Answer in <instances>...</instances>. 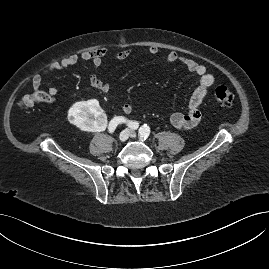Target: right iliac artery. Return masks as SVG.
Segmentation results:
<instances>
[{
  "mask_svg": "<svg viewBox=\"0 0 269 269\" xmlns=\"http://www.w3.org/2000/svg\"><path fill=\"white\" fill-rule=\"evenodd\" d=\"M120 122H124V123H127V126L133 130H136L138 127H139V123L136 122V121H127L125 118H120V117H117V118H114L110 124H109V127H108V130L110 133H113L114 130L116 129L117 125L120 123Z\"/></svg>",
  "mask_w": 269,
  "mask_h": 269,
  "instance_id": "1",
  "label": "right iliac artery"
}]
</instances>
